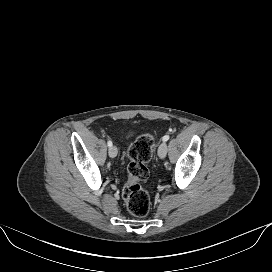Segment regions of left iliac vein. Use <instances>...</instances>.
Returning a JSON list of instances; mask_svg holds the SVG:
<instances>
[{
  "instance_id": "obj_1",
  "label": "left iliac vein",
  "mask_w": 272,
  "mask_h": 272,
  "mask_svg": "<svg viewBox=\"0 0 272 272\" xmlns=\"http://www.w3.org/2000/svg\"><path fill=\"white\" fill-rule=\"evenodd\" d=\"M167 144L166 142H162L158 148V156L161 158V159H164L166 157V154H167Z\"/></svg>"
}]
</instances>
